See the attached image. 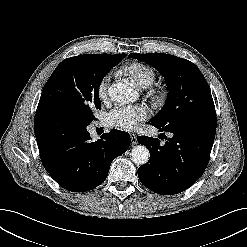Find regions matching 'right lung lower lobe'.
<instances>
[{"label": "right lung lower lobe", "instance_id": "98d812e1", "mask_svg": "<svg viewBox=\"0 0 247 247\" xmlns=\"http://www.w3.org/2000/svg\"><path fill=\"white\" fill-rule=\"evenodd\" d=\"M87 126L53 110L36 111L34 131L41 161L61 187L73 192L102 184L111 162L131 142L127 132L117 129L92 142Z\"/></svg>", "mask_w": 247, "mask_h": 247}]
</instances>
